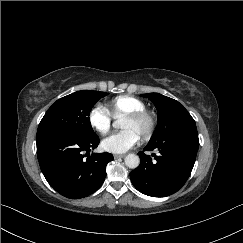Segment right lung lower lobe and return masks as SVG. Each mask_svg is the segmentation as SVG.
Listing matches in <instances>:
<instances>
[{
  "instance_id": "right-lung-lower-lobe-1",
  "label": "right lung lower lobe",
  "mask_w": 243,
  "mask_h": 243,
  "mask_svg": "<svg viewBox=\"0 0 243 243\" xmlns=\"http://www.w3.org/2000/svg\"><path fill=\"white\" fill-rule=\"evenodd\" d=\"M99 142L96 135L80 138L47 134L36 138L40 168L50 186L71 199L83 198L96 191L105 180L106 165L114 159L107 152L89 156Z\"/></svg>"
}]
</instances>
